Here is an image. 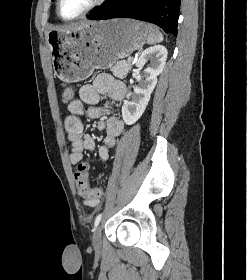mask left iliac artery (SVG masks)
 Wrapping results in <instances>:
<instances>
[{
	"label": "left iliac artery",
	"mask_w": 247,
	"mask_h": 280,
	"mask_svg": "<svg viewBox=\"0 0 247 280\" xmlns=\"http://www.w3.org/2000/svg\"><path fill=\"white\" fill-rule=\"evenodd\" d=\"M101 218H102V213H100V214L96 217V219H95V221H94V226H95V228H96V227L98 226V224L100 223Z\"/></svg>",
	"instance_id": "44dca946"
}]
</instances>
